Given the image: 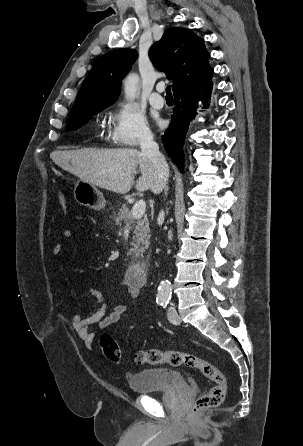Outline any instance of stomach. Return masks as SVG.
<instances>
[{"instance_id": "0dacf381", "label": "stomach", "mask_w": 303, "mask_h": 446, "mask_svg": "<svg viewBox=\"0 0 303 446\" xmlns=\"http://www.w3.org/2000/svg\"><path fill=\"white\" fill-rule=\"evenodd\" d=\"M69 181L73 179L68 178ZM74 198L75 200L86 207L94 210H102L106 206V200L102 192L90 183L83 180L74 181Z\"/></svg>"}]
</instances>
